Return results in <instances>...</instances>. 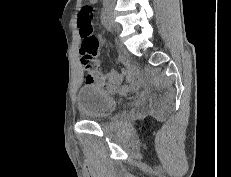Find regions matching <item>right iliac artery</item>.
<instances>
[{"instance_id":"1","label":"right iliac artery","mask_w":231,"mask_h":177,"mask_svg":"<svg viewBox=\"0 0 231 177\" xmlns=\"http://www.w3.org/2000/svg\"><path fill=\"white\" fill-rule=\"evenodd\" d=\"M101 21H102V24L104 25V27H105L108 31H111V30H112L111 21H110L108 15H107L106 10H103V11H102V14H101Z\"/></svg>"}]
</instances>
